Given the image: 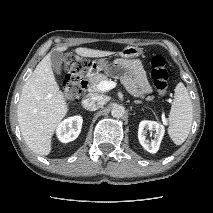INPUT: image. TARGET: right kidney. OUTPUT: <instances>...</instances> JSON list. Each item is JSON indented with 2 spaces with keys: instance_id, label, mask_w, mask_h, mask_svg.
I'll list each match as a JSON object with an SVG mask.
<instances>
[{
  "instance_id": "obj_1",
  "label": "right kidney",
  "mask_w": 213,
  "mask_h": 213,
  "mask_svg": "<svg viewBox=\"0 0 213 213\" xmlns=\"http://www.w3.org/2000/svg\"><path fill=\"white\" fill-rule=\"evenodd\" d=\"M83 118L73 116L63 120L57 127L58 139L63 143L75 140L81 132Z\"/></svg>"
}]
</instances>
